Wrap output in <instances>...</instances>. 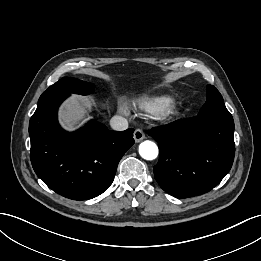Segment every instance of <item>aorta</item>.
Segmentation results:
<instances>
[{
    "label": "aorta",
    "mask_w": 261,
    "mask_h": 261,
    "mask_svg": "<svg viewBox=\"0 0 261 261\" xmlns=\"http://www.w3.org/2000/svg\"><path fill=\"white\" fill-rule=\"evenodd\" d=\"M139 154L146 160H153L158 156V147L154 142L146 140L139 145Z\"/></svg>",
    "instance_id": "aorta-1"
}]
</instances>
